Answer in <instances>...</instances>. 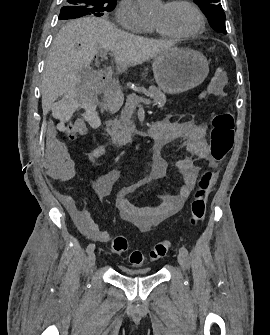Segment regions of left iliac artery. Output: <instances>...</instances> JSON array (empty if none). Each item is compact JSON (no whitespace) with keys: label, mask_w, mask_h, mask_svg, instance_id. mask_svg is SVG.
<instances>
[{"label":"left iliac artery","mask_w":270,"mask_h":335,"mask_svg":"<svg viewBox=\"0 0 270 335\" xmlns=\"http://www.w3.org/2000/svg\"><path fill=\"white\" fill-rule=\"evenodd\" d=\"M179 253L183 254L184 256H187L188 250L183 246L179 249Z\"/></svg>","instance_id":"obj_1"}]
</instances>
